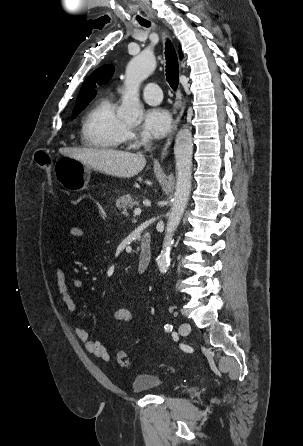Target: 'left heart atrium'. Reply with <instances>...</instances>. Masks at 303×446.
I'll list each match as a JSON object with an SVG mask.
<instances>
[{
    "label": "left heart atrium",
    "mask_w": 303,
    "mask_h": 446,
    "mask_svg": "<svg viewBox=\"0 0 303 446\" xmlns=\"http://www.w3.org/2000/svg\"><path fill=\"white\" fill-rule=\"evenodd\" d=\"M171 115L163 108L148 109L143 115L142 132L147 137L162 138L171 127Z\"/></svg>",
    "instance_id": "left-heart-atrium-1"
}]
</instances>
